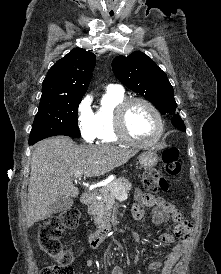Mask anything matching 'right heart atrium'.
Masks as SVG:
<instances>
[{"instance_id":"right-heart-atrium-1","label":"right heart atrium","mask_w":221,"mask_h":274,"mask_svg":"<svg viewBox=\"0 0 221 274\" xmlns=\"http://www.w3.org/2000/svg\"><path fill=\"white\" fill-rule=\"evenodd\" d=\"M77 123L83 139L87 142H93L96 139V122L89 96L84 97L78 104Z\"/></svg>"}]
</instances>
